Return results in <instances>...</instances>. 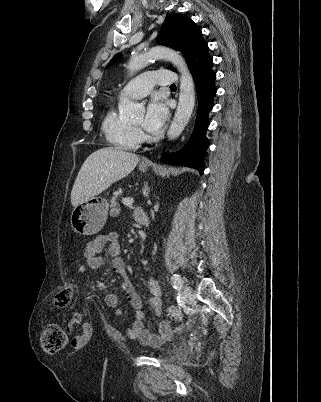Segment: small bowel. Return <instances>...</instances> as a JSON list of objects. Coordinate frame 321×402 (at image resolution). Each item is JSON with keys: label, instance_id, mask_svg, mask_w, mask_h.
Wrapping results in <instances>:
<instances>
[{"label": "small bowel", "instance_id": "small-bowel-1", "mask_svg": "<svg viewBox=\"0 0 321 402\" xmlns=\"http://www.w3.org/2000/svg\"><path fill=\"white\" fill-rule=\"evenodd\" d=\"M105 246H108V251L112 257V270L120 274L125 280V291L130 306L133 309V322L127 329V335L130 339L140 342L148 346H158L171 337L172 330L167 321H162L158 325V333H153L144 325V312L142 310V300L134 285L129 280L125 263L120 256L121 246L119 242V234L117 232H109L98 235L88 241L84 249L86 265L90 270H98L104 265V260L100 255ZM150 297L148 305L151 311L156 315L163 313L161 289L158 281L155 278H150L147 283ZM105 303L108 307L114 309L117 316L123 314L120 306L118 295L108 293L105 296ZM79 326L80 331L74 333L72 337V346L80 348L90 335V326L84 322L83 316L79 313H74L67 324V330L74 332V329Z\"/></svg>", "mask_w": 321, "mask_h": 402}]
</instances>
